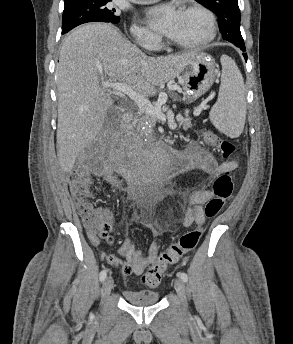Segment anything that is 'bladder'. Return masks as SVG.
<instances>
[{
	"mask_svg": "<svg viewBox=\"0 0 293 344\" xmlns=\"http://www.w3.org/2000/svg\"><path fill=\"white\" fill-rule=\"evenodd\" d=\"M125 300L133 305L146 307L152 306L159 302L160 294L158 292L146 290H128L122 292Z\"/></svg>",
	"mask_w": 293,
	"mask_h": 344,
	"instance_id": "bladder-1",
	"label": "bladder"
}]
</instances>
